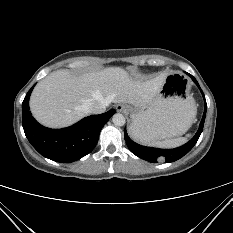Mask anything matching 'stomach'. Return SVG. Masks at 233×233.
Instances as JSON below:
<instances>
[{
	"label": "stomach",
	"instance_id": "1",
	"mask_svg": "<svg viewBox=\"0 0 233 233\" xmlns=\"http://www.w3.org/2000/svg\"><path fill=\"white\" fill-rule=\"evenodd\" d=\"M130 127L138 141L151 144L184 134L196 116L190 82L180 72H170L153 100L142 107L127 106Z\"/></svg>",
	"mask_w": 233,
	"mask_h": 233
}]
</instances>
